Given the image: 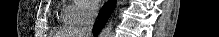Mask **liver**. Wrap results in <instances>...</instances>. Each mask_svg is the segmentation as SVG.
<instances>
[{
    "label": "liver",
    "instance_id": "obj_1",
    "mask_svg": "<svg viewBox=\"0 0 219 37\" xmlns=\"http://www.w3.org/2000/svg\"><path fill=\"white\" fill-rule=\"evenodd\" d=\"M76 35H82V34H80V33H79V34H77V33H76ZM77 37H84V36H77Z\"/></svg>",
    "mask_w": 219,
    "mask_h": 37
}]
</instances>
